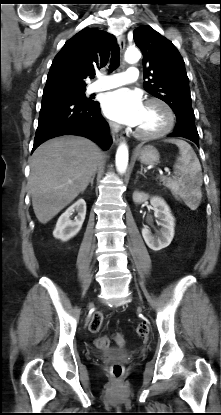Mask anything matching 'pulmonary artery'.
Wrapping results in <instances>:
<instances>
[{
  "label": "pulmonary artery",
  "mask_w": 221,
  "mask_h": 415,
  "mask_svg": "<svg viewBox=\"0 0 221 415\" xmlns=\"http://www.w3.org/2000/svg\"><path fill=\"white\" fill-rule=\"evenodd\" d=\"M138 69L135 67H129L125 72L115 73L110 75H103L89 86V92H100L117 88L119 86L135 82L138 79Z\"/></svg>",
  "instance_id": "obj_1"
}]
</instances>
